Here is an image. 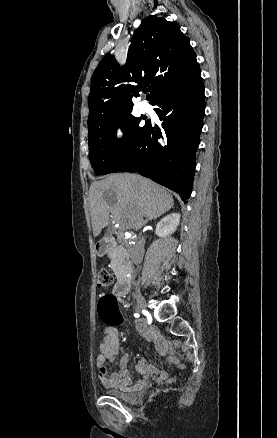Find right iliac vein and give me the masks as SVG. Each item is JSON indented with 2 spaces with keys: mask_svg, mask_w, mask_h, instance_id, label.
<instances>
[{
  "mask_svg": "<svg viewBox=\"0 0 277 438\" xmlns=\"http://www.w3.org/2000/svg\"><path fill=\"white\" fill-rule=\"evenodd\" d=\"M136 301H137V305H138L139 310H141V311L147 310L145 300L142 296H138Z\"/></svg>",
  "mask_w": 277,
  "mask_h": 438,
  "instance_id": "63e3f726",
  "label": "right iliac vein"
}]
</instances>
